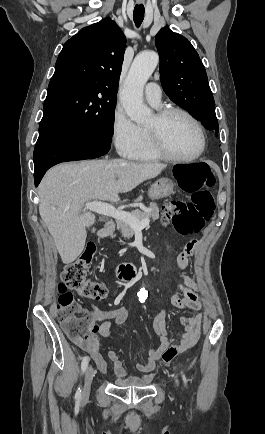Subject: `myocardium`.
<instances>
[{
  "label": "myocardium",
  "instance_id": "obj_1",
  "mask_svg": "<svg viewBox=\"0 0 265 434\" xmlns=\"http://www.w3.org/2000/svg\"><path fill=\"white\" fill-rule=\"evenodd\" d=\"M181 114L188 118L196 127L200 137V148L198 152L190 157H181L176 155L167 145L165 140L166 123L172 114ZM152 134L154 146L157 152L169 161L179 163H191L200 159L206 151L207 140L203 126L200 121L189 111L179 106H165L161 108L155 116V122L149 125Z\"/></svg>",
  "mask_w": 265,
  "mask_h": 434
}]
</instances>
